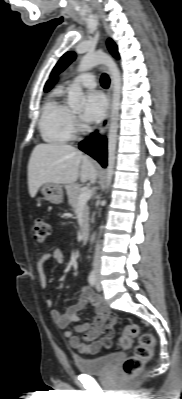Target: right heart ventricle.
<instances>
[{"label": "right heart ventricle", "mask_w": 182, "mask_h": 399, "mask_svg": "<svg viewBox=\"0 0 182 399\" xmlns=\"http://www.w3.org/2000/svg\"><path fill=\"white\" fill-rule=\"evenodd\" d=\"M61 96V90L55 91L42 108L39 129L49 143H66L73 138L72 115Z\"/></svg>", "instance_id": "e07e8e85"}]
</instances>
